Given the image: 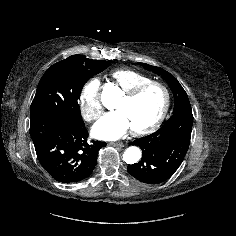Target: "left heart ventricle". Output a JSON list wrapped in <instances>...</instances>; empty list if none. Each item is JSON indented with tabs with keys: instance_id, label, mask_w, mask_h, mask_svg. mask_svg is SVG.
<instances>
[{
	"instance_id": "left-heart-ventricle-1",
	"label": "left heart ventricle",
	"mask_w": 236,
	"mask_h": 236,
	"mask_svg": "<svg viewBox=\"0 0 236 236\" xmlns=\"http://www.w3.org/2000/svg\"><path fill=\"white\" fill-rule=\"evenodd\" d=\"M164 102L163 90L158 86H152L134 100L129 101L122 97L115 108L125 114L131 128L139 129L150 125L157 119Z\"/></svg>"
}]
</instances>
